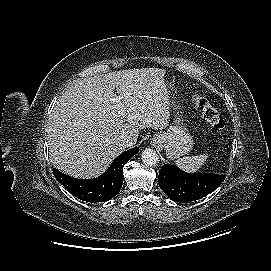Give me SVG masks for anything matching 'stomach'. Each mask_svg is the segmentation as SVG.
<instances>
[{"label": "stomach", "mask_w": 271, "mask_h": 271, "mask_svg": "<svg viewBox=\"0 0 271 271\" xmlns=\"http://www.w3.org/2000/svg\"><path fill=\"white\" fill-rule=\"evenodd\" d=\"M172 96L171 107L174 116L173 125L166 132L155 134L152 138L153 145L164 148L166 155L170 159H175L188 154L194 145L193 137L189 133L187 126L182 118V112Z\"/></svg>", "instance_id": "0dacf381"}]
</instances>
